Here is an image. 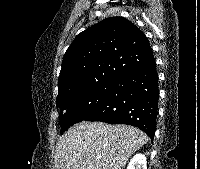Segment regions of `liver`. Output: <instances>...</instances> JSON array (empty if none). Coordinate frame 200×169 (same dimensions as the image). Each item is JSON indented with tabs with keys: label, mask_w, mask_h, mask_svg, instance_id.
I'll list each match as a JSON object with an SVG mask.
<instances>
[{
	"label": "liver",
	"mask_w": 200,
	"mask_h": 169,
	"mask_svg": "<svg viewBox=\"0 0 200 169\" xmlns=\"http://www.w3.org/2000/svg\"><path fill=\"white\" fill-rule=\"evenodd\" d=\"M147 141L148 136L132 126L81 122L59 138L55 169H123Z\"/></svg>",
	"instance_id": "6515ba94"
}]
</instances>
